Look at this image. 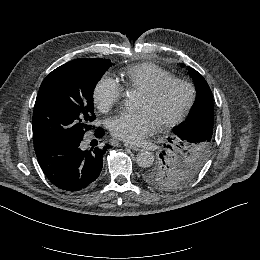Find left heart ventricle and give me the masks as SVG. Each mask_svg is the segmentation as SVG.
<instances>
[{
  "label": "left heart ventricle",
  "mask_w": 260,
  "mask_h": 260,
  "mask_svg": "<svg viewBox=\"0 0 260 260\" xmlns=\"http://www.w3.org/2000/svg\"><path fill=\"white\" fill-rule=\"evenodd\" d=\"M188 95L187 89L181 85L170 86L155 100H150L141 93L138 109L147 110L157 126L180 112L188 100Z\"/></svg>",
  "instance_id": "b2bd125f"
}]
</instances>
